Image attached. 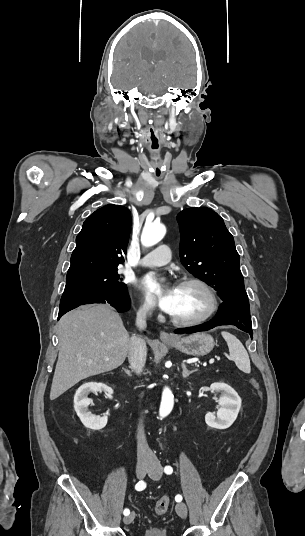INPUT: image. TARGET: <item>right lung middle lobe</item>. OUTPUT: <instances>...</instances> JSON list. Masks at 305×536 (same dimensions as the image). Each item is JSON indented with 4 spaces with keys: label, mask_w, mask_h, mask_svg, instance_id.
I'll use <instances>...</instances> for the list:
<instances>
[{
    "label": "right lung middle lobe",
    "mask_w": 305,
    "mask_h": 536,
    "mask_svg": "<svg viewBox=\"0 0 305 536\" xmlns=\"http://www.w3.org/2000/svg\"><path fill=\"white\" fill-rule=\"evenodd\" d=\"M118 269L95 272L66 278L63 295L70 293H90L103 296H119L127 293V286L121 282Z\"/></svg>",
    "instance_id": "dd1d6c3e"
}]
</instances>
